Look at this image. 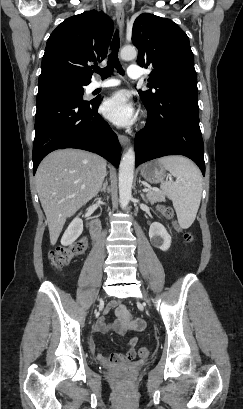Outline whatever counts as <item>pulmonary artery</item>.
Instances as JSON below:
<instances>
[{"instance_id": "1", "label": "pulmonary artery", "mask_w": 243, "mask_h": 409, "mask_svg": "<svg viewBox=\"0 0 243 409\" xmlns=\"http://www.w3.org/2000/svg\"><path fill=\"white\" fill-rule=\"evenodd\" d=\"M128 76L131 79H140L142 76V72L138 66H131L128 69ZM119 84V81L117 79H107L106 81H92L89 85L90 90H95L99 88H111L115 87Z\"/></svg>"}]
</instances>
